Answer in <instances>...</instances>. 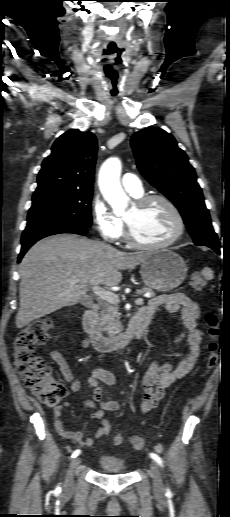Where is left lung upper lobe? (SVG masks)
Listing matches in <instances>:
<instances>
[{"label": "left lung upper lobe", "instance_id": "left-lung-upper-lobe-1", "mask_svg": "<svg viewBox=\"0 0 230 517\" xmlns=\"http://www.w3.org/2000/svg\"><path fill=\"white\" fill-rule=\"evenodd\" d=\"M131 145L138 169L179 209L194 243L219 244L195 170L174 137L150 127L136 132Z\"/></svg>", "mask_w": 230, "mask_h": 517}]
</instances>
